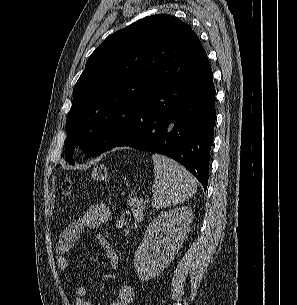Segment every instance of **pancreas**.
<instances>
[{"label": "pancreas", "instance_id": "cf45deb5", "mask_svg": "<svg viewBox=\"0 0 297 305\" xmlns=\"http://www.w3.org/2000/svg\"><path fill=\"white\" fill-rule=\"evenodd\" d=\"M132 206V213L136 219L143 217V200H139L137 198H132V200L129 203Z\"/></svg>", "mask_w": 297, "mask_h": 305}]
</instances>
